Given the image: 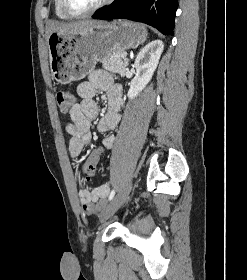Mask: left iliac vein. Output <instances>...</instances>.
Instances as JSON below:
<instances>
[{
  "label": "left iliac vein",
  "mask_w": 247,
  "mask_h": 280,
  "mask_svg": "<svg viewBox=\"0 0 247 280\" xmlns=\"http://www.w3.org/2000/svg\"><path fill=\"white\" fill-rule=\"evenodd\" d=\"M131 189L132 184L129 183L126 186H124L123 189L112 199V201L108 204V206L100 215L101 222H105L120 208L123 202L127 199Z\"/></svg>",
  "instance_id": "left-iliac-vein-1"
}]
</instances>
